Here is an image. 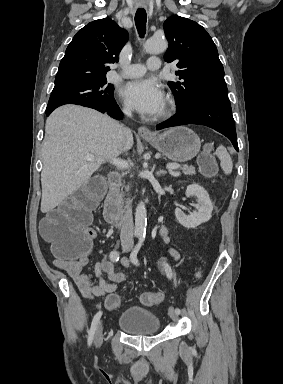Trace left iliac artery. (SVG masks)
Returning a JSON list of instances; mask_svg holds the SVG:
<instances>
[{"label": "left iliac artery", "instance_id": "obj_1", "mask_svg": "<svg viewBox=\"0 0 283 384\" xmlns=\"http://www.w3.org/2000/svg\"><path fill=\"white\" fill-rule=\"evenodd\" d=\"M143 242H144V237H140L137 245L135 246V248L133 249V251L130 254V260L134 265H139V260L137 258V254H138L139 250L141 249ZM163 266H164L167 277L169 279H171L173 276L171 267L167 263H164ZM175 311L177 314L181 313V310L179 308H176Z\"/></svg>", "mask_w": 283, "mask_h": 384}]
</instances>
